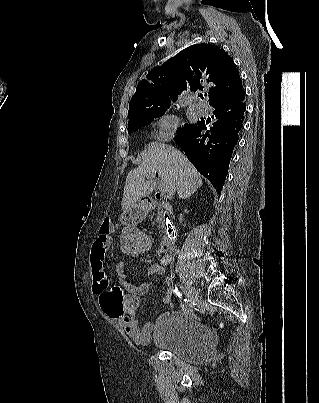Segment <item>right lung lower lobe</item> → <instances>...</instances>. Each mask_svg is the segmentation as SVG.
<instances>
[{
  "mask_svg": "<svg viewBox=\"0 0 319 403\" xmlns=\"http://www.w3.org/2000/svg\"><path fill=\"white\" fill-rule=\"evenodd\" d=\"M245 94L214 106V123L198 121L182 130L174 141L195 168L212 183L220 194L239 131L243 126Z\"/></svg>",
  "mask_w": 319,
  "mask_h": 403,
  "instance_id": "98d812e1",
  "label": "right lung lower lobe"
}]
</instances>
